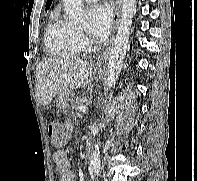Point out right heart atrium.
Instances as JSON below:
<instances>
[{
  "label": "right heart atrium",
  "instance_id": "d8ad5b80",
  "mask_svg": "<svg viewBox=\"0 0 197 181\" xmlns=\"http://www.w3.org/2000/svg\"><path fill=\"white\" fill-rule=\"evenodd\" d=\"M78 40L81 44H84L86 42L84 35L81 33H78Z\"/></svg>",
  "mask_w": 197,
  "mask_h": 181
}]
</instances>
